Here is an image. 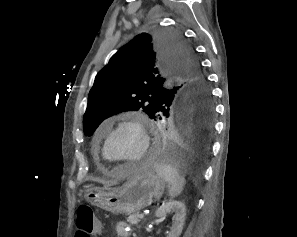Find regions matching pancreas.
<instances>
[{
    "label": "pancreas",
    "mask_w": 297,
    "mask_h": 237,
    "mask_svg": "<svg viewBox=\"0 0 297 237\" xmlns=\"http://www.w3.org/2000/svg\"><path fill=\"white\" fill-rule=\"evenodd\" d=\"M141 219L142 218H140V214L138 212H136V213L128 216L127 222L130 224L137 225L141 221Z\"/></svg>",
    "instance_id": "1"
}]
</instances>
